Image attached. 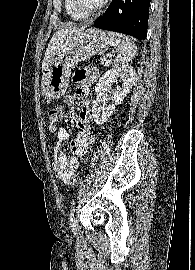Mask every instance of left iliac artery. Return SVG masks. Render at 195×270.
I'll return each instance as SVG.
<instances>
[{
	"label": "left iliac artery",
	"mask_w": 195,
	"mask_h": 270,
	"mask_svg": "<svg viewBox=\"0 0 195 270\" xmlns=\"http://www.w3.org/2000/svg\"><path fill=\"white\" fill-rule=\"evenodd\" d=\"M74 213H75V205L72 207L71 212H70V216H69L70 221H73Z\"/></svg>",
	"instance_id": "obj_1"
}]
</instances>
